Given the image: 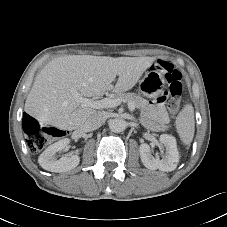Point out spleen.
<instances>
[{
	"label": "spleen",
	"mask_w": 227,
	"mask_h": 227,
	"mask_svg": "<svg viewBox=\"0 0 227 227\" xmlns=\"http://www.w3.org/2000/svg\"><path fill=\"white\" fill-rule=\"evenodd\" d=\"M176 129L181 141L190 145L195 131L194 108L186 104L176 118Z\"/></svg>",
	"instance_id": "1"
}]
</instances>
